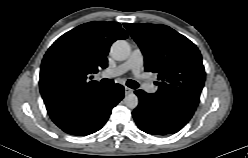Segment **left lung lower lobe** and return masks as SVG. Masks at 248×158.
I'll list each match as a JSON object with an SVG mask.
<instances>
[{"label": "left lung lower lobe", "instance_id": "1", "mask_svg": "<svg viewBox=\"0 0 248 158\" xmlns=\"http://www.w3.org/2000/svg\"><path fill=\"white\" fill-rule=\"evenodd\" d=\"M135 94L140 102L132 114L138 127L148 134L176 133L187 124L194 113L182 106L166 104L143 90H137Z\"/></svg>", "mask_w": 248, "mask_h": 158}]
</instances>
